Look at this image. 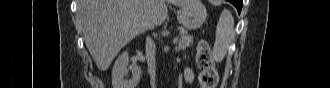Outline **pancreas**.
<instances>
[{
    "mask_svg": "<svg viewBox=\"0 0 330 88\" xmlns=\"http://www.w3.org/2000/svg\"><path fill=\"white\" fill-rule=\"evenodd\" d=\"M181 38L178 42L177 49L182 50L186 49V47L190 46L193 43V38L188 32L184 29H179Z\"/></svg>",
    "mask_w": 330,
    "mask_h": 88,
    "instance_id": "1",
    "label": "pancreas"
}]
</instances>
